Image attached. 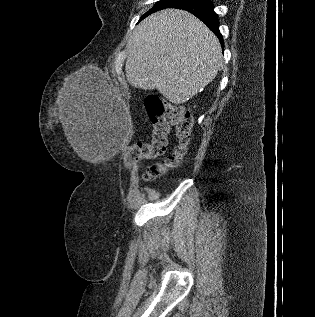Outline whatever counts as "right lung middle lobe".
I'll list each match as a JSON object with an SVG mask.
<instances>
[{
	"mask_svg": "<svg viewBox=\"0 0 315 317\" xmlns=\"http://www.w3.org/2000/svg\"><path fill=\"white\" fill-rule=\"evenodd\" d=\"M179 1L181 0H161L147 14H145V16H147L148 14H151L152 12L165 9L171 5L178 3Z\"/></svg>",
	"mask_w": 315,
	"mask_h": 317,
	"instance_id": "dd1d6c3e",
	"label": "right lung middle lobe"
}]
</instances>
